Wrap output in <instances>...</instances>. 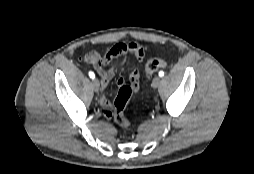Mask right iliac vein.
<instances>
[{
	"label": "right iliac vein",
	"mask_w": 254,
	"mask_h": 174,
	"mask_svg": "<svg viewBox=\"0 0 254 174\" xmlns=\"http://www.w3.org/2000/svg\"><path fill=\"white\" fill-rule=\"evenodd\" d=\"M92 86L95 92H99L100 90V83L98 79H93L92 80Z\"/></svg>",
	"instance_id": "right-iliac-vein-1"
}]
</instances>
